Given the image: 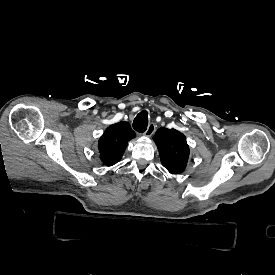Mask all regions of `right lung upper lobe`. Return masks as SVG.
<instances>
[{"instance_id": "cb5924a9", "label": "right lung upper lobe", "mask_w": 275, "mask_h": 275, "mask_svg": "<svg viewBox=\"0 0 275 275\" xmlns=\"http://www.w3.org/2000/svg\"><path fill=\"white\" fill-rule=\"evenodd\" d=\"M135 136L130 124L125 121L110 125L98 141L101 161L106 166H112L119 162L128 141Z\"/></svg>"}]
</instances>
